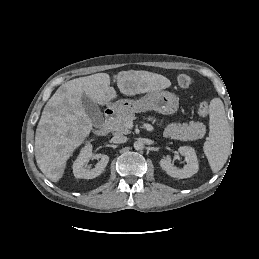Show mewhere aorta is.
Listing matches in <instances>:
<instances>
[{"instance_id":"aorta-1","label":"aorta","mask_w":259,"mask_h":259,"mask_svg":"<svg viewBox=\"0 0 259 259\" xmlns=\"http://www.w3.org/2000/svg\"><path fill=\"white\" fill-rule=\"evenodd\" d=\"M144 148V144L141 141H136L134 142V149L139 151V150H143Z\"/></svg>"}]
</instances>
